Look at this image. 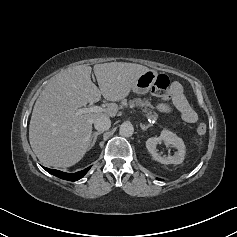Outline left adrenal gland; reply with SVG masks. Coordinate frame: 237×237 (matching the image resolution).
<instances>
[{
	"mask_svg": "<svg viewBox=\"0 0 237 237\" xmlns=\"http://www.w3.org/2000/svg\"><path fill=\"white\" fill-rule=\"evenodd\" d=\"M152 125L148 124V125H143L142 123L140 124V127L143 131L147 130L149 127H151Z\"/></svg>",
	"mask_w": 237,
	"mask_h": 237,
	"instance_id": "a2214340",
	"label": "left adrenal gland"
}]
</instances>
